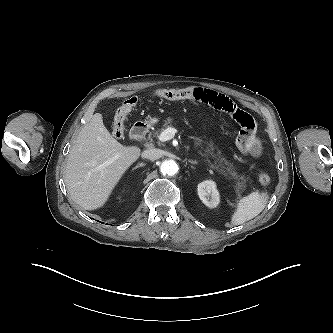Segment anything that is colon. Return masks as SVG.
<instances>
[{
  "mask_svg": "<svg viewBox=\"0 0 333 333\" xmlns=\"http://www.w3.org/2000/svg\"><path fill=\"white\" fill-rule=\"evenodd\" d=\"M156 97H160L166 100H183V99H192L194 97V93L191 89H167L161 88L156 89L152 93ZM137 103L136 97H130L123 102V104L116 110L113 125H112V132L113 135L116 137H122L124 134V123L132 109L135 107ZM259 182L263 185H267L271 181L270 175L262 171L259 173L258 176Z\"/></svg>",
  "mask_w": 333,
  "mask_h": 333,
  "instance_id": "obj_1",
  "label": "colon"
}]
</instances>
